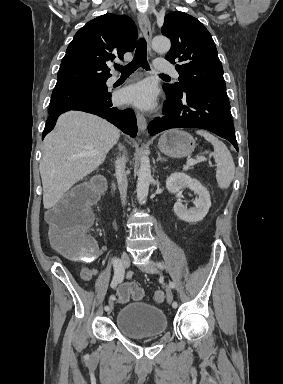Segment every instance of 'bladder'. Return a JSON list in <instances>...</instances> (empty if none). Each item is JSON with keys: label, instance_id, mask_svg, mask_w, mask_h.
Here are the masks:
<instances>
[{"label": "bladder", "instance_id": "obj_1", "mask_svg": "<svg viewBox=\"0 0 283 384\" xmlns=\"http://www.w3.org/2000/svg\"><path fill=\"white\" fill-rule=\"evenodd\" d=\"M115 324L126 338L158 337L167 330V314L160 307L138 300L119 309Z\"/></svg>", "mask_w": 283, "mask_h": 384}]
</instances>
